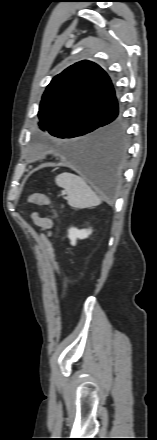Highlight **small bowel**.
<instances>
[{"mask_svg": "<svg viewBox=\"0 0 157 440\" xmlns=\"http://www.w3.org/2000/svg\"><path fill=\"white\" fill-rule=\"evenodd\" d=\"M34 223L42 229H50L52 227V220L48 217H42L38 213L32 215Z\"/></svg>", "mask_w": 157, "mask_h": 440, "instance_id": "1", "label": "small bowel"}]
</instances>
